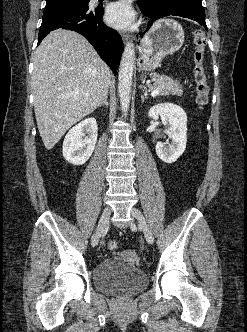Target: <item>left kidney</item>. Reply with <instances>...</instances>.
I'll return each mask as SVG.
<instances>
[{
  "label": "left kidney",
  "instance_id": "5707ae66",
  "mask_svg": "<svg viewBox=\"0 0 247 332\" xmlns=\"http://www.w3.org/2000/svg\"><path fill=\"white\" fill-rule=\"evenodd\" d=\"M148 116L157 120L161 117L171 142L158 141L156 153L165 163H173L183 154L187 142V115L178 105L172 103L157 104L150 108Z\"/></svg>",
  "mask_w": 247,
  "mask_h": 332
}]
</instances>
